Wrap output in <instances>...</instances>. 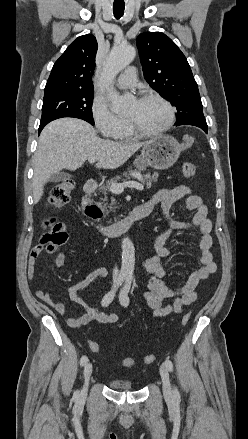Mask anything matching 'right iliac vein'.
Wrapping results in <instances>:
<instances>
[{
  "mask_svg": "<svg viewBox=\"0 0 248 439\" xmlns=\"http://www.w3.org/2000/svg\"><path fill=\"white\" fill-rule=\"evenodd\" d=\"M92 371H93L92 363L88 362L85 365L84 371H83L84 379H85V385H84V389L82 391V396L83 397L86 396V394H87L88 383H89V379H90V376L92 374Z\"/></svg>",
  "mask_w": 248,
  "mask_h": 439,
  "instance_id": "obj_1",
  "label": "right iliac vein"
}]
</instances>
